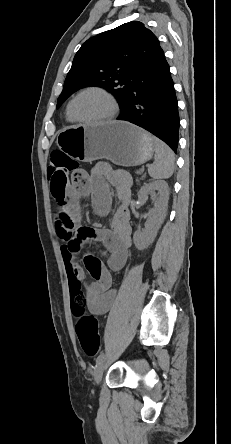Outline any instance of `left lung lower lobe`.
I'll use <instances>...</instances> for the list:
<instances>
[{
	"instance_id": "1",
	"label": "left lung lower lobe",
	"mask_w": 231,
	"mask_h": 444,
	"mask_svg": "<svg viewBox=\"0 0 231 444\" xmlns=\"http://www.w3.org/2000/svg\"><path fill=\"white\" fill-rule=\"evenodd\" d=\"M118 120L134 123L177 151L179 114L174 83L163 50L140 70Z\"/></svg>"
}]
</instances>
